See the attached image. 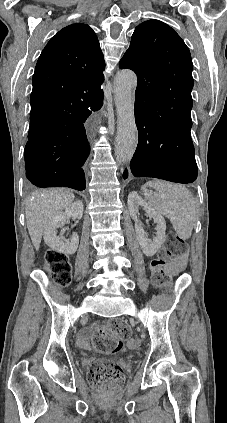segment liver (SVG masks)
<instances>
[{
	"mask_svg": "<svg viewBox=\"0 0 227 423\" xmlns=\"http://www.w3.org/2000/svg\"><path fill=\"white\" fill-rule=\"evenodd\" d=\"M75 196L70 190L54 188V190H41L29 196L26 202V223L31 237V241L38 251L44 229L58 213V211L71 206Z\"/></svg>",
	"mask_w": 227,
	"mask_h": 423,
	"instance_id": "1",
	"label": "liver"
}]
</instances>
